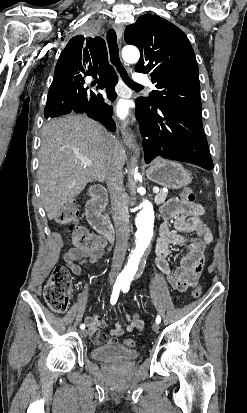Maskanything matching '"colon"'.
Here are the masks:
<instances>
[{
    "instance_id": "obj_1",
    "label": "colon",
    "mask_w": 247,
    "mask_h": 413,
    "mask_svg": "<svg viewBox=\"0 0 247 413\" xmlns=\"http://www.w3.org/2000/svg\"><path fill=\"white\" fill-rule=\"evenodd\" d=\"M179 199L185 207L194 205L193 195L185 191L180 195ZM79 218V205L75 202L66 204L58 213L56 221L68 232L74 235V242L85 247L90 246L95 241V236L88 232L85 228L79 227L74 229L71 223ZM71 272L66 266L56 267L43 288V297L49 308L56 313L65 312L69 308L70 296L72 292ZM201 287H197V291L192 293L193 298L201 296ZM124 345L127 347L134 346V340L125 339Z\"/></svg>"
}]
</instances>
